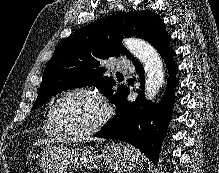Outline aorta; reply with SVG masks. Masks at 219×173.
I'll return each mask as SVG.
<instances>
[{
	"label": "aorta",
	"instance_id": "762f6f07",
	"mask_svg": "<svg viewBox=\"0 0 219 173\" xmlns=\"http://www.w3.org/2000/svg\"><path fill=\"white\" fill-rule=\"evenodd\" d=\"M124 46L144 66L145 70V97L152 100L156 97L164 83L163 62L160 54L148 42L138 38H126Z\"/></svg>",
	"mask_w": 219,
	"mask_h": 173
}]
</instances>
